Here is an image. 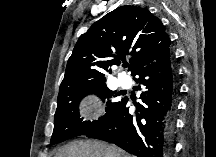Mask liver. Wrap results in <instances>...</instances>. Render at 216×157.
I'll return each instance as SVG.
<instances>
[{
    "label": "liver",
    "mask_w": 216,
    "mask_h": 157,
    "mask_svg": "<svg viewBox=\"0 0 216 157\" xmlns=\"http://www.w3.org/2000/svg\"><path fill=\"white\" fill-rule=\"evenodd\" d=\"M55 157H130V155L115 145L101 141H80L62 147Z\"/></svg>",
    "instance_id": "6515ba94"
}]
</instances>
